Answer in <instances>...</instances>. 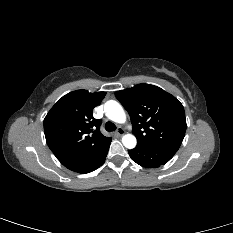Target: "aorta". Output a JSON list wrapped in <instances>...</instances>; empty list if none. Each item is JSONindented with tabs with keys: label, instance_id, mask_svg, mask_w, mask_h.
Listing matches in <instances>:
<instances>
[{
	"label": "aorta",
	"instance_id": "aorta-1",
	"mask_svg": "<svg viewBox=\"0 0 233 233\" xmlns=\"http://www.w3.org/2000/svg\"><path fill=\"white\" fill-rule=\"evenodd\" d=\"M104 112L108 119L116 123L122 124L126 122V114L122 106L117 101H107L104 105ZM122 143L126 148L133 149L137 144V140L133 134H125L122 137Z\"/></svg>",
	"mask_w": 233,
	"mask_h": 233
}]
</instances>
